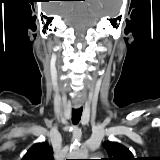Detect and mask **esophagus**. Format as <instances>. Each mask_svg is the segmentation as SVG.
Instances as JSON below:
<instances>
[{
  "label": "esophagus",
  "instance_id": "esophagus-1",
  "mask_svg": "<svg viewBox=\"0 0 160 160\" xmlns=\"http://www.w3.org/2000/svg\"><path fill=\"white\" fill-rule=\"evenodd\" d=\"M80 107V105H75V108H79Z\"/></svg>",
  "mask_w": 160,
  "mask_h": 160
}]
</instances>
